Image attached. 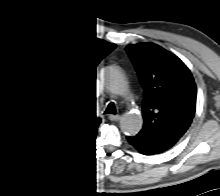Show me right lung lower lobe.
I'll use <instances>...</instances> for the list:
<instances>
[{
  "label": "right lung lower lobe",
  "instance_id": "98d812e1",
  "mask_svg": "<svg viewBox=\"0 0 220 196\" xmlns=\"http://www.w3.org/2000/svg\"><path fill=\"white\" fill-rule=\"evenodd\" d=\"M93 140H95V136H93L87 143H85L84 145L82 146H79V147H70L69 149H81L82 147L88 145L89 143H91Z\"/></svg>",
  "mask_w": 220,
  "mask_h": 196
}]
</instances>
